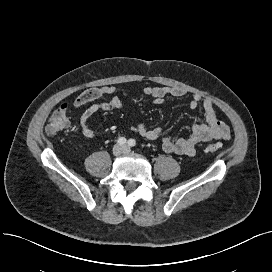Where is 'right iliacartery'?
I'll return each instance as SVG.
<instances>
[{
  "mask_svg": "<svg viewBox=\"0 0 272 272\" xmlns=\"http://www.w3.org/2000/svg\"><path fill=\"white\" fill-rule=\"evenodd\" d=\"M117 142L119 145H124L127 142V140L124 137H120Z\"/></svg>",
  "mask_w": 272,
  "mask_h": 272,
  "instance_id": "obj_1",
  "label": "right iliac artery"
}]
</instances>
